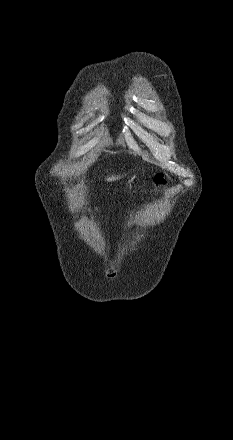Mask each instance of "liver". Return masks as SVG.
<instances>
[{
    "label": "liver",
    "mask_w": 233,
    "mask_h": 440,
    "mask_svg": "<svg viewBox=\"0 0 233 440\" xmlns=\"http://www.w3.org/2000/svg\"><path fill=\"white\" fill-rule=\"evenodd\" d=\"M116 179H118V177H114V176H112V177H108V178H107V181H113V180H116Z\"/></svg>",
    "instance_id": "6515ba94"
}]
</instances>
